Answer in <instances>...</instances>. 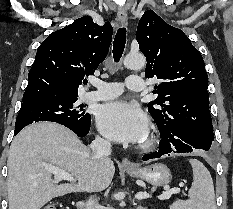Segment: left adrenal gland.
Segmentation results:
<instances>
[{"label":"left adrenal gland","mask_w":233,"mask_h":209,"mask_svg":"<svg viewBox=\"0 0 233 209\" xmlns=\"http://www.w3.org/2000/svg\"><path fill=\"white\" fill-rule=\"evenodd\" d=\"M136 209H146V208H144L141 205H139Z\"/></svg>","instance_id":"left-adrenal-gland-1"}]
</instances>
